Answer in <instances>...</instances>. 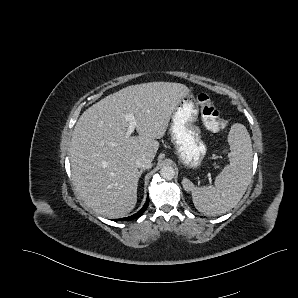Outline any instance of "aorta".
Returning a JSON list of instances; mask_svg holds the SVG:
<instances>
[{"mask_svg": "<svg viewBox=\"0 0 298 298\" xmlns=\"http://www.w3.org/2000/svg\"><path fill=\"white\" fill-rule=\"evenodd\" d=\"M175 175L176 171L172 166L165 165L160 169V176L167 181L174 179Z\"/></svg>", "mask_w": 298, "mask_h": 298, "instance_id": "762f6f07", "label": "aorta"}]
</instances>
